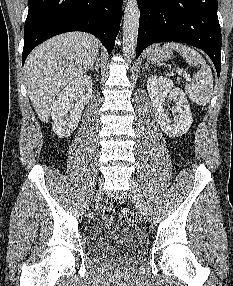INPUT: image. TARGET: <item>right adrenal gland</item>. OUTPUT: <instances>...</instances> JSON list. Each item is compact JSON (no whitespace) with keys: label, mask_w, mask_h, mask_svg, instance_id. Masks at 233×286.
Here are the masks:
<instances>
[{"label":"right adrenal gland","mask_w":233,"mask_h":286,"mask_svg":"<svg viewBox=\"0 0 233 286\" xmlns=\"http://www.w3.org/2000/svg\"><path fill=\"white\" fill-rule=\"evenodd\" d=\"M99 66H100L99 59H96L95 65L90 67L89 70H95L96 72H99Z\"/></svg>","instance_id":"1"}]
</instances>
